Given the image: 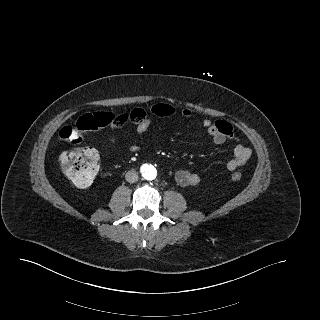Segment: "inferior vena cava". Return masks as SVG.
<instances>
[{
  "mask_svg": "<svg viewBox=\"0 0 320 320\" xmlns=\"http://www.w3.org/2000/svg\"><path fill=\"white\" fill-rule=\"evenodd\" d=\"M125 179L129 183H134L138 180V173L136 171H128L125 175Z\"/></svg>",
  "mask_w": 320,
  "mask_h": 320,
  "instance_id": "inferior-vena-cava-1",
  "label": "inferior vena cava"
}]
</instances>
